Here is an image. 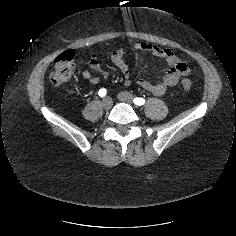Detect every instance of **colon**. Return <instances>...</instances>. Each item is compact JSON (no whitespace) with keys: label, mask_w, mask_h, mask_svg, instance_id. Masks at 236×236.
<instances>
[{"label":"colon","mask_w":236,"mask_h":236,"mask_svg":"<svg viewBox=\"0 0 236 236\" xmlns=\"http://www.w3.org/2000/svg\"><path fill=\"white\" fill-rule=\"evenodd\" d=\"M76 68L75 55L73 52H65L59 55L53 63V69L50 74V81L53 85H62L70 80ZM181 87L185 91H190L192 84L188 79L181 82Z\"/></svg>","instance_id":"5ec220e1"}]
</instances>
